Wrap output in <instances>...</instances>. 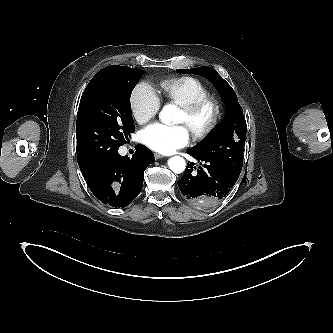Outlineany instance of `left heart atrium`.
Returning <instances> with one entry per match:
<instances>
[{
    "label": "left heart atrium",
    "mask_w": 333,
    "mask_h": 333,
    "mask_svg": "<svg viewBox=\"0 0 333 333\" xmlns=\"http://www.w3.org/2000/svg\"><path fill=\"white\" fill-rule=\"evenodd\" d=\"M141 141L156 152L169 154L185 147L190 141V135L184 125L167 126L154 123L141 132Z\"/></svg>",
    "instance_id": "obj_1"
}]
</instances>
